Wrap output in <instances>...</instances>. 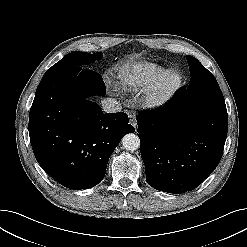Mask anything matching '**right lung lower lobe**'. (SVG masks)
<instances>
[{
	"label": "right lung lower lobe",
	"mask_w": 247,
	"mask_h": 247,
	"mask_svg": "<svg viewBox=\"0 0 247 247\" xmlns=\"http://www.w3.org/2000/svg\"><path fill=\"white\" fill-rule=\"evenodd\" d=\"M102 77L83 67L44 74L29 114L36 160L70 189L96 186L121 138L134 132L126 113L103 114L88 97L104 96Z\"/></svg>",
	"instance_id": "1"
}]
</instances>
